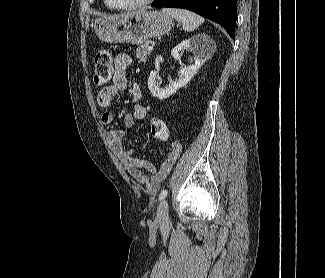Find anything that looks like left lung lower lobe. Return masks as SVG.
Here are the masks:
<instances>
[{
    "instance_id": "1",
    "label": "left lung lower lobe",
    "mask_w": 325,
    "mask_h": 278,
    "mask_svg": "<svg viewBox=\"0 0 325 278\" xmlns=\"http://www.w3.org/2000/svg\"><path fill=\"white\" fill-rule=\"evenodd\" d=\"M152 7L183 8L222 25L235 38L236 0H156Z\"/></svg>"
}]
</instances>
